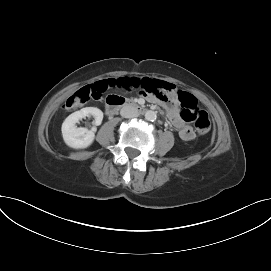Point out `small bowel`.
Segmentation results:
<instances>
[{
	"label": "small bowel",
	"mask_w": 271,
	"mask_h": 271,
	"mask_svg": "<svg viewBox=\"0 0 271 271\" xmlns=\"http://www.w3.org/2000/svg\"><path fill=\"white\" fill-rule=\"evenodd\" d=\"M116 80H101L92 85L95 89H104L115 86ZM123 84L129 83L128 77L122 78ZM162 88V89H161ZM130 89L140 91V97L146 98L152 105H164L167 115L172 125L178 130L179 136L184 141L195 138L193 129L182 119L177 107V90L172 83L161 81L155 76H133L131 78ZM120 93L126 92L125 86L119 87Z\"/></svg>",
	"instance_id": "1"
}]
</instances>
